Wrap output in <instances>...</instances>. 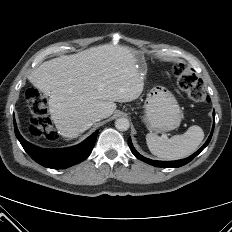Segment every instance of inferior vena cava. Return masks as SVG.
<instances>
[{
    "mask_svg": "<svg viewBox=\"0 0 232 232\" xmlns=\"http://www.w3.org/2000/svg\"><path fill=\"white\" fill-rule=\"evenodd\" d=\"M100 119H102V115L101 114H91L89 117V122L87 123V128H89L93 123L99 121Z\"/></svg>",
    "mask_w": 232,
    "mask_h": 232,
    "instance_id": "602c4592",
    "label": "inferior vena cava"
}]
</instances>
